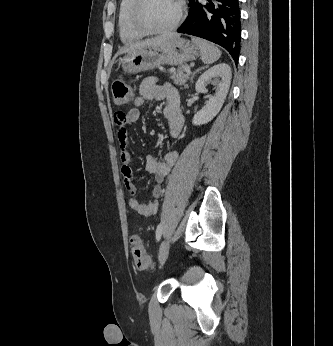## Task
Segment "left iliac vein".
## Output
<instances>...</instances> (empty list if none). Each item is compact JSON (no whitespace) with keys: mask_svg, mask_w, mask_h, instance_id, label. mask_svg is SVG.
<instances>
[{"mask_svg":"<svg viewBox=\"0 0 333 346\" xmlns=\"http://www.w3.org/2000/svg\"><path fill=\"white\" fill-rule=\"evenodd\" d=\"M169 247H170V243L169 240H164L159 248V252H158V261L160 266L163 265V263L166 261L168 254H169Z\"/></svg>","mask_w":333,"mask_h":346,"instance_id":"obj_1","label":"left iliac vein"}]
</instances>
